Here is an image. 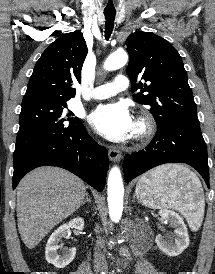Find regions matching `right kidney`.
<instances>
[{"mask_svg": "<svg viewBox=\"0 0 215 274\" xmlns=\"http://www.w3.org/2000/svg\"><path fill=\"white\" fill-rule=\"evenodd\" d=\"M70 228L77 229L79 231L84 228V220L81 217H77L72 219L69 223L61 225L58 229H56L51 236L49 237L46 250H45V258L48 263L54 265L56 268H64L69 265L76 255V248H72L67 252H64L62 255L59 254V249L62 245H60V241L62 238L66 237L70 232Z\"/></svg>", "mask_w": 215, "mask_h": 274, "instance_id": "obj_1", "label": "right kidney"}]
</instances>
